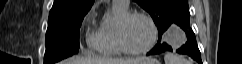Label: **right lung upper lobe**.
I'll return each instance as SVG.
<instances>
[{
    "label": "right lung upper lobe",
    "mask_w": 242,
    "mask_h": 64,
    "mask_svg": "<svg viewBox=\"0 0 242 64\" xmlns=\"http://www.w3.org/2000/svg\"><path fill=\"white\" fill-rule=\"evenodd\" d=\"M94 0H55L49 13V19L75 16L91 9Z\"/></svg>",
    "instance_id": "cb5924a9"
}]
</instances>
